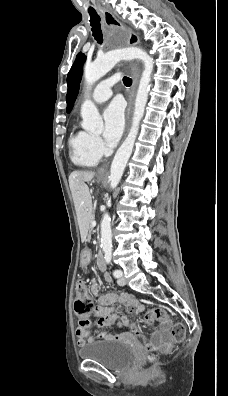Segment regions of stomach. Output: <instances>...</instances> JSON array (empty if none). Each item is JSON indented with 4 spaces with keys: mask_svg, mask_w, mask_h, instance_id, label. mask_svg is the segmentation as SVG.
Returning a JSON list of instances; mask_svg holds the SVG:
<instances>
[{
    "mask_svg": "<svg viewBox=\"0 0 228 396\" xmlns=\"http://www.w3.org/2000/svg\"><path fill=\"white\" fill-rule=\"evenodd\" d=\"M104 179H105V178H104L103 176H99V177H98V181H99V182L104 181ZM83 254H84V256H86V255L89 254L88 248H85V249L83 250Z\"/></svg>",
    "mask_w": 228,
    "mask_h": 396,
    "instance_id": "stomach-1",
    "label": "stomach"
}]
</instances>
